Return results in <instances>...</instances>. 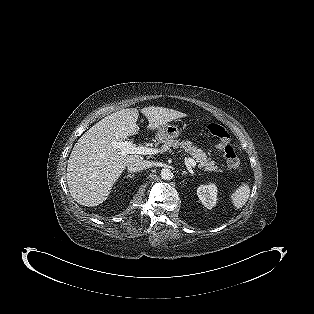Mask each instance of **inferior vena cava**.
I'll use <instances>...</instances> for the list:
<instances>
[{"label": "inferior vena cava", "instance_id": "obj_1", "mask_svg": "<svg viewBox=\"0 0 314 314\" xmlns=\"http://www.w3.org/2000/svg\"><path fill=\"white\" fill-rule=\"evenodd\" d=\"M150 162L146 160H138L128 165V172L135 173L150 167Z\"/></svg>", "mask_w": 314, "mask_h": 314}]
</instances>
